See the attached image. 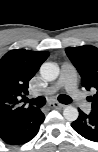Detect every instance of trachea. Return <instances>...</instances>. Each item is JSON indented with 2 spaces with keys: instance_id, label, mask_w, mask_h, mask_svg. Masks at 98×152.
Masks as SVG:
<instances>
[{
  "instance_id": "obj_1",
  "label": "trachea",
  "mask_w": 98,
  "mask_h": 152,
  "mask_svg": "<svg viewBox=\"0 0 98 152\" xmlns=\"http://www.w3.org/2000/svg\"><path fill=\"white\" fill-rule=\"evenodd\" d=\"M26 102L36 105L37 107H43L46 104V99L44 97H37L36 99H26ZM58 101L63 104H69L72 102V99L67 95H59Z\"/></svg>"
}]
</instances>
